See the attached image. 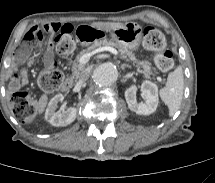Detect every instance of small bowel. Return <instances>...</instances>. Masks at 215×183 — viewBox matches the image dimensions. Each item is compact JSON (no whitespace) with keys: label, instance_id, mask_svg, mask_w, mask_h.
Wrapping results in <instances>:
<instances>
[{"label":"small bowel","instance_id":"c3829d8e","mask_svg":"<svg viewBox=\"0 0 215 183\" xmlns=\"http://www.w3.org/2000/svg\"><path fill=\"white\" fill-rule=\"evenodd\" d=\"M70 28L71 26L66 23L60 22H45L32 26L23 36L22 43L20 45L21 52H24L26 45L33 44L39 37L43 35H51L60 32L63 29ZM16 68L12 66L9 73H15ZM26 84V77L22 75L20 77L12 79L10 83L11 90H17Z\"/></svg>","mask_w":215,"mask_h":183}]
</instances>
